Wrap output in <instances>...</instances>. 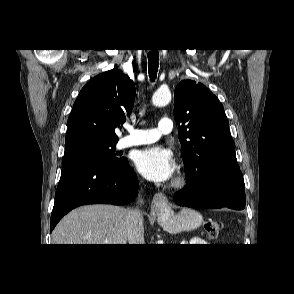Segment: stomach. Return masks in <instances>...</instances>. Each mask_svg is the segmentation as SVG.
Masks as SVG:
<instances>
[{"label":"stomach","mask_w":294,"mask_h":294,"mask_svg":"<svg viewBox=\"0 0 294 294\" xmlns=\"http://www.w3.org/2000/svg\"><path fill=\"white\" fill-rule=\"evenodd\" d=\"M157 216L162 227L170 233L196 229L203 221L200 213L188 208H183L178 213H174L172 209H166L159 212Z\"/></svg>","instance_id":"1"}]
</instances>
